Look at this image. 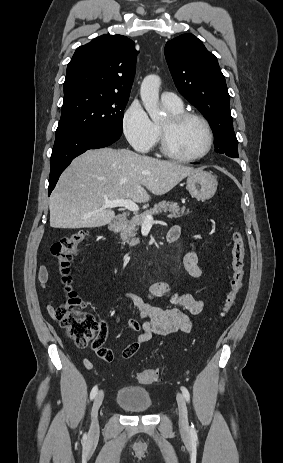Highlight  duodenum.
Listing matches in <instances>:
<instances>
[{
  "mask_svg": "<svg viewBox=\"0 0 283 463\" xmlns=\"http://www.w3.org/2000/svg\"><path fill=\"white\" fill-rule=\"evenodd\" d=\"M126 219H127V215L125 213L119 214L112 222H110V224L108 225V229L112 233H117L119 231L121 225L126 221ZM175 240H176V238H175L174 235L168 234V236H167V241L168 242H173Z\"/></svg>",
  "mask_w": 283,
  "mask_h": 463,
  "instance_id": "obj_1",
  "label": "duodenum"
}]
</instances>
